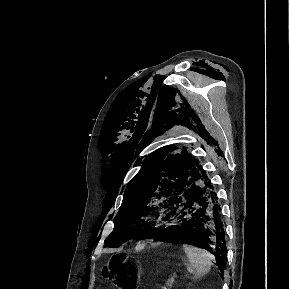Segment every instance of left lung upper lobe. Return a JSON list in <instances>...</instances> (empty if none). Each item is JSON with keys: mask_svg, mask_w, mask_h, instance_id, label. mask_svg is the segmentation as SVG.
Instances as JSON below:
<instances>
[{"mask_svg": "<svg viewBox=\"0 0 289 289\" xmlns=\"http://www.w3.org/2000/svg\"><path fill=\"white\" fill-rule=\"evenodd\" d=\"M206 179L205 171L186 150L166 146L154 151L127 186L105 245L113 248L143 239L164 223L170 202L186 186Z\"/></svg>", "mask_w": 289, "mask_h": 289, "instance_id": "obj_1", "label": "left lung upper lobe"}]
</instances>
